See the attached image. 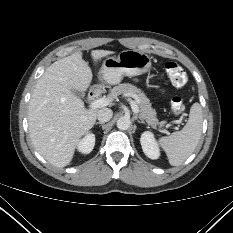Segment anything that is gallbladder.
<instances>
[{
  "label": "gallbladder",
  "mask_w": 233,
  "mask_h": 233,
  "mask_svg": "<svg viewBox=\"0 0 233 233\" xmlns=\"http://www.w3.org/2000/svg\"><path fill=\"white\" fill-rule=\"evenodd\" d=\"M74 95H76L79 98H83L84 97V93L81 91H77V90H73Z\"/></svg>",
  "instance_id": "gallbladder-1"
}]
</instances>
